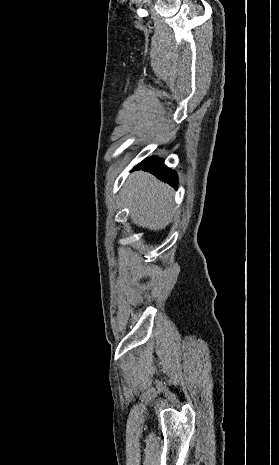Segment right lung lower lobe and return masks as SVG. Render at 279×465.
<instances>
[{"label": "right lung lower lobe", "instance_id": "right-lung-lower-lobe-1", "mask_svg": "<svg viewBox=\"0 0 279 465\" xmlns=\"http://www.w3.org/2000/svg\"><path fill=\"white\" fill-rule=\"evenodd\" d=\"M135 170H145L154 174L160 180L169 183L170 185L176 187L178 184V177L176 172L164 165L162 159H156L149 164H138Z\"/></svg>", "mask_w": 279, "mask_h": 465}]
</instances>
